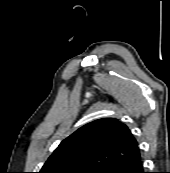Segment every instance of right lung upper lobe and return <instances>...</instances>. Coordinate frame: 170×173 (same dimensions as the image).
<instances>
[{
	"label": "right lung upper lobe",
	"instance_id": "right-lung-upper-lobe-1",
	"mask_svg": "<svg viewBox=\"0 0 170 173\" xmlns=\"http://www.w3.org/2000/svg\"><path fill=\"white\" fill-rule=\"evenodd\" d=\"M139 152L138 143L125 124L115 118H103L84 125L63 140L40 173H102Z\"/></svg>",
	"mask_w": 170,
	"mask_h": 173
}]
</instances>
